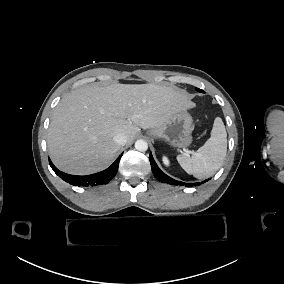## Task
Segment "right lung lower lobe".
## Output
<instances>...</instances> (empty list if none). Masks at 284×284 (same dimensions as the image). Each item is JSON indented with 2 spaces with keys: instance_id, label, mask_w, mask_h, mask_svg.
Wrapping results in <instances>:
<instances>
[{
  "instance_id": "1",
  "label": "right lung lower lobe",
  "mask_w": 284,
  "mask_h": 284,
  "mask_svg": "<svg viewBox=\"0 0 284 284\" xmlns=\"http://www.w3.org/2000/svg\"><path fill=\"white\" fill-rule=\"evenodd\" d=\"M121 156L122 154L106 170L101 171L96 174L87 175V176H76V175L66 174L58 170L53 165L50 159H49V163L52 169L54 170V172L59 177H61L64 181L68 182L69 184H72L74 186H97V185L107 184L112 178H114V176L116 175L118 171V165H119Z\"/></svg>"
}]
</instances>
